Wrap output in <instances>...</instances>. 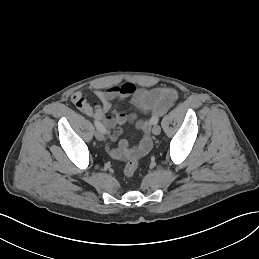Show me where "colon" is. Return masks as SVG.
Here are the masks:
<instances>
[{"mask_svg":"<svg viewBox=\"0 0 259 259\" xmlns=\"http://www.w3.org/2000/svg\"><path fill=\"white\" fill-rule=\"evenodd\" d=\"M138 168V161L136 159L129 160L123 169V174L126 177H132Z\"/></svg>","mask_w":259,"mask_h":259,"instance_id":"1","label":"colon"}]
</instances>
